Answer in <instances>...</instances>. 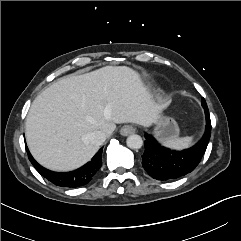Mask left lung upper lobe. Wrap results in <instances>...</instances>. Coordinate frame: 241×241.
<instances>
[{"label": "left lung upper lobe", "instance_id": "1", "mask_svg": "<svg viewBox=\"0 0 241 241\" xmlns=\"http://www.w3.org/2000/svg\"><path fill=\"white\" fill-rule=\"evenodd\" d=\"M202 106H203V108L207 107V104H206L204 98L202 99Z\"/></svg>", "mask_w": 241, "mask_h": 241}]
</instances>
